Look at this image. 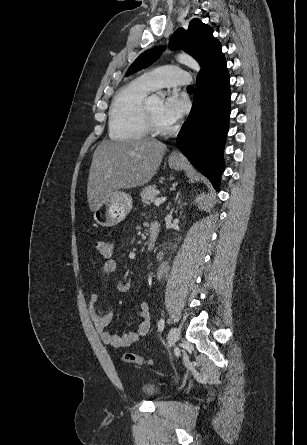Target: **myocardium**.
<instances>
[{"label": "myocardium", "mask_w": 307, "mask_h": 445, "mask_svg": "<svg viewBox=\"0 0 307 445\" xmlns=\"http://www.w3.org/2000/svg\"><path fill=\"white\" fill-rule=\"evenodd\" d=\"M150 99H147L145 101L144 107H143V114H144V117L146 119L149 131H151L153 133H156V134L172 133L174 131V127L173 126L165 128V127L160 126L156 122V120H155V118H154V116H153V114L151 112ZM151 139H159V138L158 137H152Z\"/></svg>", "instance_id": "1"}]
</instances>
